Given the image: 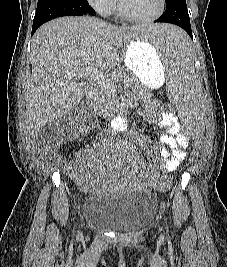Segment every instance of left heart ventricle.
I'll use <instances>...</instances> for the list:
<instances>
[{
	"instance_id": "obj_1",
	"label": "left heart ventricle",
	"mask_w": 227,
	"mask_h": 267,
	"mask_svg": "<svg viewBox=\"0 0 227 267\" xmlns=\"http://www.w3.org/2000/svg\"><path fill=\"white\" fill-rule=\"evenodd\" d=\"M123 9L129 15L146 18L153 15L159 6V0H120Z\"/></svg>"
}]
</instances>
